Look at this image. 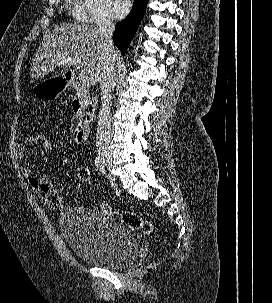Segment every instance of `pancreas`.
I'll return each instance as SVG.
<instances>
[{
	"instance_id": "cf45deb5",
	"label": "pancreas",
	"mask_w": 272,
	"mask_h": 303,
	"mask_svg": "<svg viewBox=\"0 0 272 303\" xmlns=\"http://www.w3.org/2000/svg\"><path fill=\"white\" fill-rule=\"evenodd\" d=\"M82 95H84L85 99L89 98V93L87 92L85 86L82 87Z\"/></svg>"
}]
</instances>
